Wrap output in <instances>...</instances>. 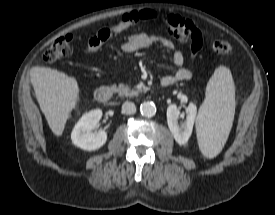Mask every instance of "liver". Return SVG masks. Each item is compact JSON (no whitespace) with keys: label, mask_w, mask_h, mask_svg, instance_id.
<instances>
[{"label":"liver","mask_w":275,"mask_h":215,"mask_svg":"<svg viewBox=\"0 0 275 215\" xmlns=\"http://www.w3.org/2000/svg\"><path fill=\"white\" fill-rule=\"evenodd\" d=\"M30 81L50 129L61 136L70 112L77 105L76 79L56 69L35 66L30 70Z\"/></svg>","instance_id":"6515ba94"}]
</instances>
